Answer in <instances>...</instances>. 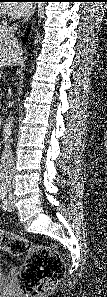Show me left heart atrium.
I'll return each instance as SVG.
<instances>
[{
	"instance_id": "1",
	"label": "left heart atrium",
	"mask_w": 107,
	"mask_h": 297,
	"mask_svg": "<svg viewBox=\"0 0 107 297\" xmlns=\"http://www.w3.org/2000/svg\"><path fill=\"white\" fill-rule=\"evenodd\" d=\"M6 10L11 16H21L27 11L25 3H9L6 5Z\"/></svg>"
}]
</instances>
